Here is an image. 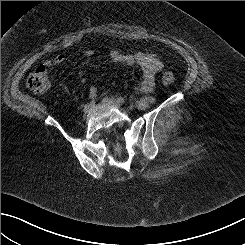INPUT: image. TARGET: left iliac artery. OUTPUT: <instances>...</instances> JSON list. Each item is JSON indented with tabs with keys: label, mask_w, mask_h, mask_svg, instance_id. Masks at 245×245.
Returning a JSON list of instances; mask_svg holds the SVG:
<instances>
[{
	"label": "left iliac artery",
	"mask_w": 245,
	"mask_h": 245,
	"mask_svg": "<svg viewBox=\"0 0 245 245\" xmlns=\"http://www.w3.org/2000/svg\"><path fill=\"white\" fill-rule=\"evenodd\" d=\"M117 101L121 104H124L126 102V100L123 97H118Z\"/></svg>",
	"instance_id": "1"
}]
</instances>
